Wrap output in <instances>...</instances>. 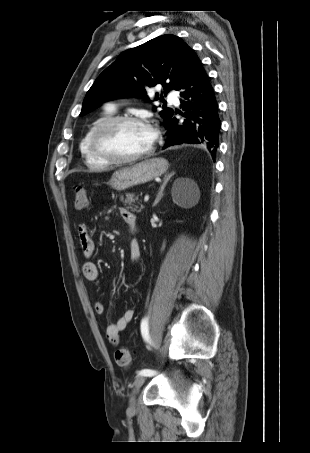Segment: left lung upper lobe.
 I'll use <instances>...</instances> for the list:
<instances>
[{"mask_svg": "<svg viewBox=\"0 0 310 453\" xmlns=\"http://www.w3.org/2000/svg\"><path fill=\"white\" fill-rule=\"evenodd\" d=\"M192 53L193 50L174 35H162L122 52L89 89L80 115L108 100L144 95L147 86L161 84L165 93L176 90L187 72ZM158 99L159 94H156L155 100ZM160 100L164 101L163 96ZM172 113L171 108L160 112L165 119Z\"/></svg>", "mask_w": 310, "mask_h": 453, "instance_id": "left-lung-upper-lobe-1", "label": "left lung upper lobe"}]
</instances>
